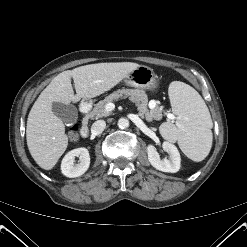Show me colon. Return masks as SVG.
I'll return each instance as SVG.
<instances>
[{
  "instance_id": "obj_1",
  "label": "colon",
  "mask_w": 247,
  "mask_h": 247,
  "mask_svg": "<svg viewBox=\"0 0 247 247\" xmlns=\"http://www.w3.org/2000/svg\"><path fill=\"white\" fill-rule=\"evenodd\" d=\"M68 137L71 141H76L79 137V131H78V126L75 125L73 126L69 132H68Z\"/></svg>"
}]
</instances>
